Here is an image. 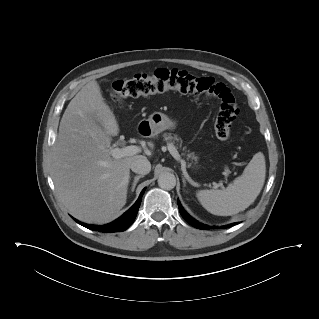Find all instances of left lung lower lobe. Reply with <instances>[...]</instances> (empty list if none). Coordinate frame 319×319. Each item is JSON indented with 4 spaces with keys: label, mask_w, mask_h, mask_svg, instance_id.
Wrapping results in <instances>:
<instances>
[{
    "label": "left lung lower lobe",
    "mask_w": 319,
    "mask_h": 319,
    "mask_svg": "<svg viewBox=\"0 0 319 319\" xmlns=\"http://www.w3.org/2000/svg\"><path fill=\"white\" fill-rule=\"evenodd\" d=\"M178 207H179V211L182 215V217L190 224L192 225L193 227L195 228H199V229H211L212 227H209L205 224H202V223H199L197 220L193 219L190 215H188L185 210L182 208L180 202L178 201ZM238 223H232L230 225H227V226H223V227H230V226H233V225H236ZM223 227H220V228H223Z\"/></svg>",
    "instance_id": "0a47b994"
}]
</instances>
